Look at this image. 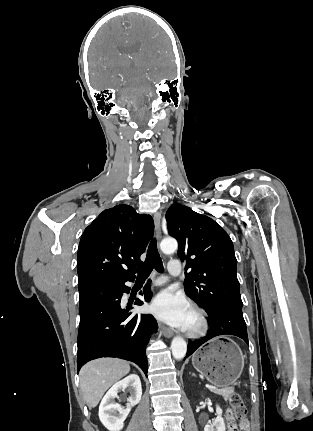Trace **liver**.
<instances>
[{
    "label": "liver",
    "mask_w": 313,
    "mask_h": 431,
    "mask_svg": "<svg viewBox=\"0 0 313 431\" xmlns=\"http://www.w3.org/2000/svg\"><path fill=\"white\" fill-rule=\"evenodd\" d=\"M129 371L128 362L114 358H101L85 364L80 370V386L88 407H96L108 388Z\"/></svg>",
    "instance_id": "obj_1"
}]
</instances>
